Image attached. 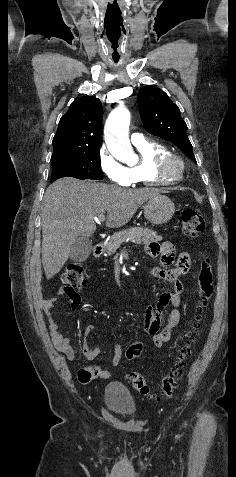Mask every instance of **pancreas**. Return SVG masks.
Masks as SVG:
<instances>
[{
  "instance_id": "obj_1",
  "label": "pancreas",
  "mask_w": 236,
  "mask_h": 477,
  "mask_svg": "<svg viewBox=\"0 0 236 477\" xmlns=\"http://www.w3.org/2000/svg\"><path fill=\"white\" fill-rule=\"evenodd\" d=\"M162 240L161 236H158L156 232L151 229L143 227H132L126 230H122L115 233L107 242L105 252L110 255L120 248L121 244L127 241H131L138 245H148L150 243H156Z\"/></svg>"
}]
</instances>
